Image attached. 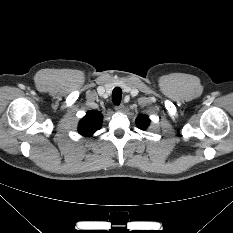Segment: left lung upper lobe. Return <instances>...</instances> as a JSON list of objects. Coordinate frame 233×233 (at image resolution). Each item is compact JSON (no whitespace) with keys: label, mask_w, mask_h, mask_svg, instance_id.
<instances>
[{"label":"left lung upper lobe","mask_w":233,"mask_h":233,"mask_svg":"<svg viewBox=\"0 0 233 233\" xmlns=\"http://www.w3.org/2000/svg\"><path fill=\"white\" fill-rule=\"evenodd\" d=\"M150 124V119L145 115H140L136 119V125L139 129L145 130Z\"/></svg>","instance_id":"5c2ea615"}]
</instances>
